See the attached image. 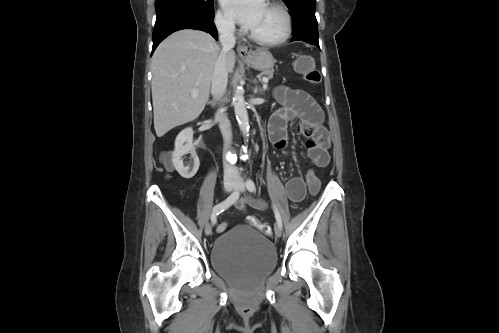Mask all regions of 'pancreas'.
I'll return each mask as SVG.
<instances>
[{
	"mask_svg": "<svg viewBox=\"0 0 499 333\" xmlns=\"http://www.w3.org/2000/svg\"><path fill=\"white\" fill-rule=\"evenodd\" d=\"M273 72H274V70L271 69V70L263 72L262 75H265L266 79H271L273 77Z\"/></svg>",
	"mask_w": 499,
	"mask_h": 333,
	"instance_id": "obj_1",
	"label": "pancreas"
}]
</instances>
